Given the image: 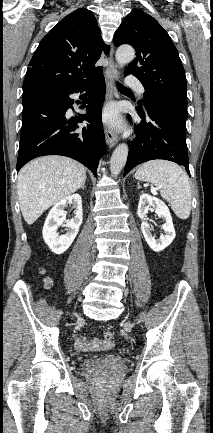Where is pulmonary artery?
Here are the masks:
<instances>
[{"label": "pulmonary artery", "mask_w": 213, "mask_h": 433, "mask_svg": "<svg viewBox=\"0 0 213 433\" xmlns=\"http://www.w3.org/2000/svg\"><path fill=\"white\" fill-rule=\"evenodd\" d=\"M125 82H126V84H127L128 86L135 88V89L138 91V93H139L140 95H143V94H144L145 90H144L143 85H142L141 82H140L137 78H135L134 76H132V75L128 76V77L126 78V81H125Z\"/></svg>", "instance_id": "e3ab8cb5"}]
</instances>
